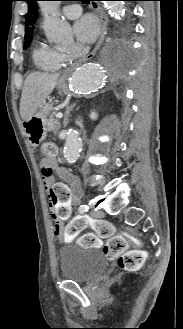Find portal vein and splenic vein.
Returning a JSON list of instances; mask_svg holds the SVG:
<instances>
[{"mask_svg": "<svg viewBox=\"0 0 183 329\" xmlns=\"http://www.w3.org/2000/svg\"><path fill=\"white\" fill-rule=\"evenodd\" d=\"M62 117H63V114L62 113L56 114V118L61 119Z\"/></svg>", "mask_w": 183, "mask_h": 329, "instance_id": "1", "label": "portal vein and splenic vein"}]
</instances>
